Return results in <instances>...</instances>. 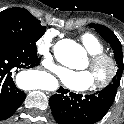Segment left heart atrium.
<instances>
[{"mask_svg":"<svg viewBox=\"0 0 124 124\" xmlns=\"http://www.w3.org/2000/svg\"><path fill=\"white\" fill-rule=\"evenodd\" d=\"M58 77L63 85L77 91L86 90L94 83L92 74L89 70L74 71L69 69H60Z\"/></svg>","mask_w":124,"mask_h":124,"instance_id":"1","label":"left heart atrium"}]
</instances>
